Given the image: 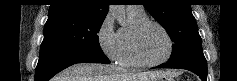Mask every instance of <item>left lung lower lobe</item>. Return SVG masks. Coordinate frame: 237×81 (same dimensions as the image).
Segmentation results:
<instances>
[{
    "label": "left lung lower lobe",
    "mask_w": 237,
    "mask_h": 81,
    "mask_svg": "<svg viewBox=\"0 0 237 81\" xmlns=\"http://www.w3.org/2000/svg\"><path fill=\"white\" fill-rule=\"evenodd\" d=\"M157 68H181L197 74L202 81H207V62H189L182 65L167 66L165 63Z\"/></svg>",
    "instance_id": "1"
}]
</instances>
